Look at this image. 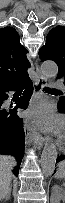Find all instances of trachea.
Here are the masks:
<instances>
[{"label": "trachea", "mask_w": 65, "mask_h": 203, "mask_svg": "<svg viewBox=\"0 0 65 203\" xmlns=\"http://www.w3.org/2000/svg\"><path fill=\"white\" fill-rule=\"evenodd\" d=\"M43 90H44V91H56V90L51 89V88H44Z\"/></svg>", "instance_id": "trachea-1"}]
</instances>
